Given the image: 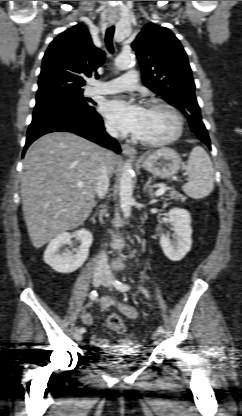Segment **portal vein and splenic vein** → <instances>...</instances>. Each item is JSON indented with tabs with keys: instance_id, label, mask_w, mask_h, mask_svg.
<instances>
[{
	"instance_id": "portal-vein-and-splenic-vein-1",
	"label": "portal vein and splenic vein",
	"mask_w": 242,
	"mask_h": 416,
	"mask_svg": "<svg viewBox=\"0 0 242 416\" xmlns=\"http://www.w3.org/2000/svg\"><path fill=\"white\" fill-rule=\"evenodd\" d=\"M79 186H82V184H78ZM167 191V187L163 186L161 188H159L156 192H155V196L156 197H160L162 196L165 192Z\"/></svg>"
}]
</instances>
